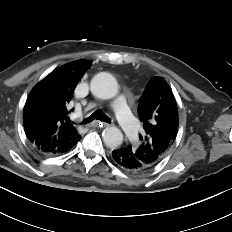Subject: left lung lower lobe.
I'll use <instances>...</instances> for the list:
<instances>
[{
    "instance_id": "1",
    "label": "left lung lower lobe",
    "mask_w": 232,
    "mask_h": 232,
    "mask_svg": "<svg viewBox=\"0 0 232 232\" xmlns=\"http://www.w3.org/2000/svg\"><path fill=\"white\" fill-rule=\"evenodd\" d=\"M112 160L117 166L130 172H142L149 169L136 157L130 145L114 150Z\"/></svg>"
}]
</instances>
